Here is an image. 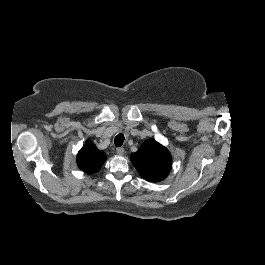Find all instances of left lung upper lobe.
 Returning a JSON list of instances; mask_svg holds the SVG:
<instances>
[{
	"label": "left lung upper lobe",
	"mask_w": 265,
	"mask_h": 265,
	"mask_svg": "<svg viewBox=\"0 0 265 265\" xmlns=\"http://www.w3.org/2000/svg\"><path fill=\"white\" fill-rule=\"evenodd\" d=\"M131 161L143 178L150 182H159L169 174L172 159L164 146L149 139L137 152L131 154Z\"/></svg>",
	"instance_id": "1"
}]
</instances>
